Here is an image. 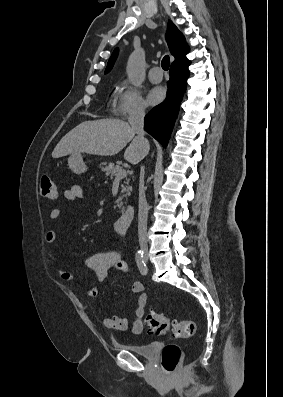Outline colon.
I'll use <instances>...</instances> for the list:
<instances>
[{"label": "colon", "instance_id": "obj_1", "mask_svg": "<svg viewBox=\"0 0 283 397\" xmlns=\"http://www.w3.org/2000/svg\"><path fill=\"white\" fill-rule=\"evenodd\" d=\"M40 194L48 199H56L57 188L52 178L44 174L39 182ZM149 330L159 336H166L172 327L173 334L177 338H189L195 333V323L189 320H170L163 314L150 311L146 317ZM181 348L173 343L167 344L161 355L162 369L166 374H172L177 369L182 359Z\"/></svg>", "mask_w": 283, "mask_h": 397}]
</instances>
